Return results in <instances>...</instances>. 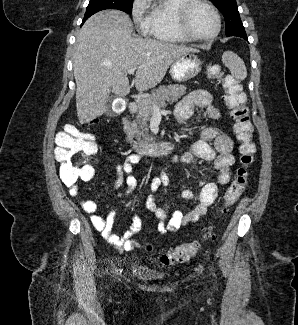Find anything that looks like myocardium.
<instances>
[{
    "label": "myocardium",
    "mask_w": 298,
    "mask_h": 325,
    "mask_svg": "<svg viewBox=\"0 0 298 325\" xmlns=\"http://www.w3.org/2000/svg\"><path fill=\"white\" fill-rule=\"evenodd\" d=\"M194 5H201L205 7L210 14L213 16L215 20V31L214 33L207 39L203 40L195 36L193 33L190 32L188 27L185 24L186 16L189 12V10L194 6ZM174 17H173V29L174 31L180 35L181 37L197 42V43H202V44H209L213 42L219 35L221 25H220V19L217 14V12L214 10V8L207 3L206 1L203 0H179L175 3L174 5Z\"/></svg>",
    "instance_id": "f54148a6"
}]
</instances>
